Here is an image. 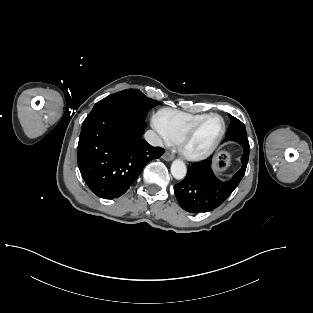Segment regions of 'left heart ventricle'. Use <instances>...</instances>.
I'll list each match as a JSON object with an SVG mask.
<instances>
[{"mask_svg":"<svg viewBox=\"0 0 313 313\" xmlns=\"http://www.w3.org/2000/svg\"><path fill=\"white\" fill-rule=\"evenodd\" d=\"M222 130V122L217 117L206 120L191 138L188 148L192 152H204L216 141Z\"/></svg>","mask_w":313,"mask_h":313,"instance_id":"left-heart-ventricle-1","label":"left heart ventricle"}]
</instances>
